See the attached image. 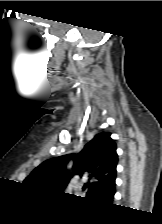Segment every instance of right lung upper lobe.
I'll return each instance as SVG.
<instances>
[{"mask_svg":"<svg viewBox=\"0 0 162 224\" xmlns=\"http://www.w3.org/2000/svg\"><path fill=\"white\" fill-rule=\"evenodd\" d=\"M110 133L97 134L83 150L77 154L63 155L48 159L35 168L25 179L24 183L32 187L48 188L61 192L74 174L80 176L86 171L90 182L88 186L89 197L110 202L115 194L116 166L118 156L116 144ZM73 159L74 173L66 171V165Z\"/></svg>","mask_w":162,"mask_h":224,"instance_id":"right-lung-upper-lobe-1","label":"right lung upper lobe"}]
</instances>
